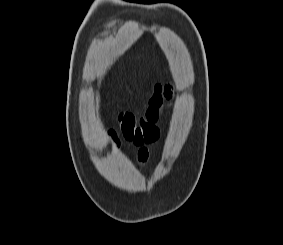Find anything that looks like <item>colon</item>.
<instances>
[{"label":"colon","instance_id":"1","mask_svg":"<svg viewBox=\"0 0 283 245\" xmlns=\"http://www.w3.org/2000/svg\"><path fill=\"white\" fill-rule=\"evenodd\" d=\"M162 101V86L155 85L149 93L146 110L141 116L137 117L130 112L120 113L118 120L123 137L138 145L156 141L159 135L156 124Z\"/></svg>","mask_w":283,"mask_h":245}]
</instances>
